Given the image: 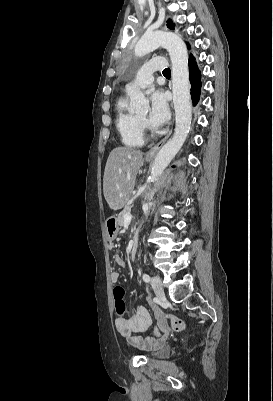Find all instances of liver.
Here are the masks:
<instances>
[{"label": "liver", "mask_w": 273, "mask_h": 401, "mask_svg": "<svg viewBox=\"0 0 273 401\" xmlns=\"http://www.w3.org/2000/svg\"><path fill=\"white\" fill-rule=\"evenodd\" d=\"M142 160L143 152L135 148L117 146L111 150L104 170L103 190L113 211L122 209L129 201Z\"/></svg>", "instance_id": "1"}]
</instances>
